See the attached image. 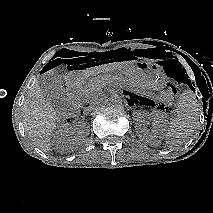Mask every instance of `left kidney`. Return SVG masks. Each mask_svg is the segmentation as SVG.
Returning <instances> with one entry per match:
<instances>
[{"mask_svg":"<svg viewBox=\"0 0 213 213\" xmlns=\"http://www.w3.org/2000/svg\"><path fill=\"white\" fill-rule=\"evenodd\" d=\"M145 118L146 115L142 112L134 114L137 135L144 140L159 138L160 135H162V133L165 131V116L158 111H154L150 114V118L154 123V129L152 132L146 129Z\"/></svg>","mask_w":213,"mask_h":213,"instance_id":"1","label":"left kidney"}]
</instances>
